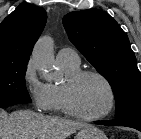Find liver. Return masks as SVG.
<instances>
[{"label": "liver", "mask_w": 141, "mask_h": 139, "mask_svg": "<svg viewBox=\"0 0 141 139\" xmlns=\"http://www.w3.org/2000/svg\"><path fill=\"white\" fill-rule=\"evenodd\" d=\"M86 126L88 124L83 122L45 116L30 110L7 114L0 109V139H67Z\"/></svg>", "instance_id": "obj_1"}]
</instances>
